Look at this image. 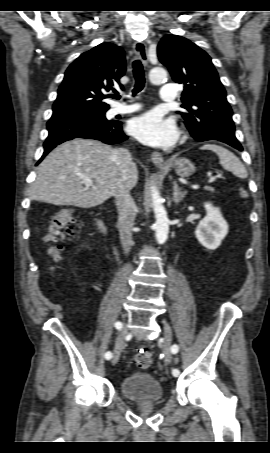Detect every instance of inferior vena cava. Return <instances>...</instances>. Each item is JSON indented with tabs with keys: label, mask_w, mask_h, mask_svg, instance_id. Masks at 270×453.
<instances>
[{
	"label": "inferior vena cava",
	"mask_w": 270,
	"mask_h": 453,
	"mask_svg": "<svg viewBox=\"0 0 270 453\" xmlns=\"http://www.w3.org/2000/svg\"><path fill=\"white\" fill-rule=\"evenodd\" d=\"M112 159L122 171L123 178L127 169L133 164L131 153L124 148L112 151ZM115 203L119 213L118 229L120 240L125 254H128L132 246V228L135 220V203L129 190L121 187L115 196Z\"/></svg>",
	"instance_id": "602c4592"
}]
</instances>
